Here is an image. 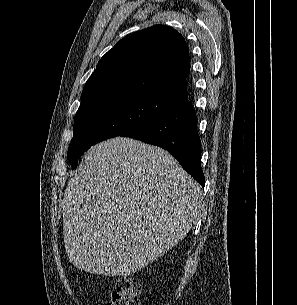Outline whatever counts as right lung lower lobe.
Segmentation results:
<instances>
[{
  "mask_svg": "<svg viewBox=\"0 0 297 305\" xmlns=\"http://www.w3.org/2000/svg\"><path fill=\"white\" fill-rule=\"evenodd\" d=\"M121 136L138 139L166 149L204 187L205 177L201 169L197 116L187 98L172 104L167 110L144 125Z\"/></svg>",
  "mask_w": 297,
  "mask_h": 305,
  "instance_id": "right-lung-lower-lobe-1",
  "label": "right lung lower lobe"
}]
</instances>
